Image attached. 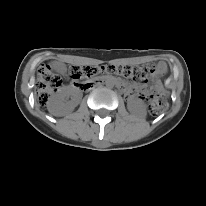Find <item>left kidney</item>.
<instances>
[{"label":"left kidney","mask_w":206,"mask_h":206,"mask_svg":"<svg viewBox=\"0 0 206 206\" xmlns=\"http://www.w3.org/2000/svg\"><path fill=\"white\" fill-rule=\"evenodd\" d=\"M128 110L134 114L145 115V104L140 99H133L128 103Z\"/></svg>","instance_id":"5707ae66"}]
</instances>
